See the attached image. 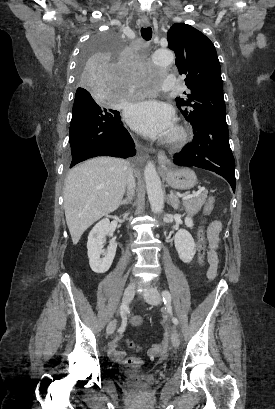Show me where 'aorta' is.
Masks as SVG:
<instances>
[{"label": "aorta", "instance_id": "1", "mask_svg": "<svg viewBox=\"0 0 275 409\" xmlns=\"http://www.w3.org/2000/svg\"><path fill=\"white\" fill-rule=\"evenodd\" d=\"M148 59L151 65H166L171 64L174 60V54L171 50L161 51H149ZM146 188L148 198L150 200V207L153 213H160L164 205V196L161 186L160 176L153 164V162H147L144 170Z\"/></svg>", "mask_w": 275, "mask_h": 409}]
</instances>
